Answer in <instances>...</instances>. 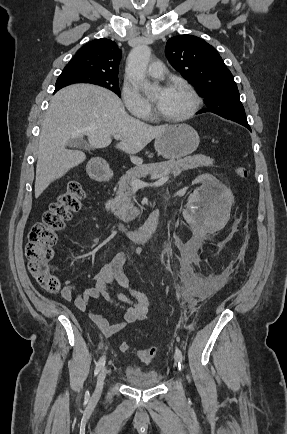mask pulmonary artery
<instances>
[{
    "mask_svg": "<svg viewBox=\"0 0 287 434\" xmlns=\"http://www.w3.org/2000/svg\"><path fill=\"white\" fill-rule=\"evenodd\" d=\"M147 73L152 78H161L164 76V67L160 61H154L149 65Z\"/></svg>",
    "mask_w": 287,
    "mask_h": 434,
    "instance_id": "e3ab8cb5",
    "label": "pulmonary artery"
}]
</instances>
